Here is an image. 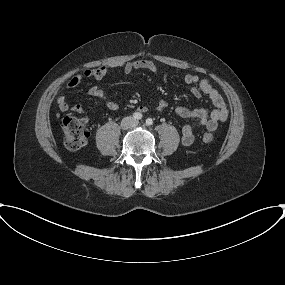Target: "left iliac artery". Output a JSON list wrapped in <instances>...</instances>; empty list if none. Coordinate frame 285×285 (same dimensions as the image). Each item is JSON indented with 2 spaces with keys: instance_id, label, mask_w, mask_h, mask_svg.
Listing matches in <instances>:
<instances>
[{
  "instance_id": "left-iliac-artery-1",
  "label": "left iliac artery",
  "mask_w": 285,
  "mask_h": 285,
  "mask_svg": "<svg viewBox=\"0 0 285 285\" xmlns=\"http://www.w3.org/2000/svg\"><path fill=\"white\" fill-rule=\"evenodd\" d=\"M153 124V120L151 118L146 119V125L150 126Z\"/></svg>"
}]
</instances>
